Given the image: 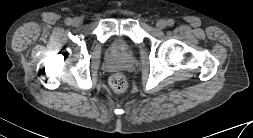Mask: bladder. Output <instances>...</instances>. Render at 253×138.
Returning a JSON list of instances; mask_svg holds the SVG:
<instances>
[{
    "instance_id": "1",
    "label": "bladder",
    "mask_w": 253,
    "mask_h": 138,
    "mask_svg": "<svg viewBox=\"0 0 253 138\" xmlns=\"http://www.w3.org/2000/svg\"><path fill=\"white\" fill-rule=\"evenodd\" d=\"M114 47L118 50H122L125 52H130L131 51V47L130 45L123 39L121 38H117L114 42Z\"/></svg>"
}]
</instances>
